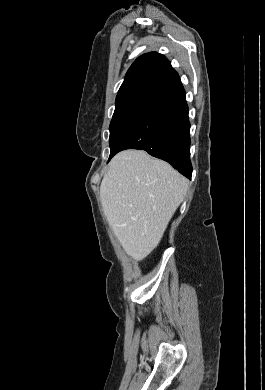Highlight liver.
Masks as SVG:
<instances>
[{"label": "liver", "instance_id": "6515ba94", "mask_svg": "<svg viewBox=\"0 0 265 390\" xmlns=\"http://www.w3.org/2000/svg\"><path fill=\"white\" fill-rule=\"evenodd\" d=\"M188 184L145 151L125 150L111 160L100 186L101 203L127 255L140 261L156 248Z\"/></svg>", "mask_w": 265, "mask_h": 390}]
</instances>
